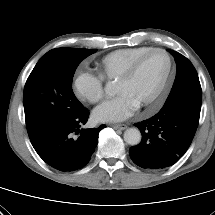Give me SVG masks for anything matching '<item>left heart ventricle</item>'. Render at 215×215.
<instances>
[{
  "instance_id": "obj_1",
  "label": "left heart ventricle",
  "mask_w": 215,
  "mask_h": 215,
  "mask_svg": "<svg viewBox=\"0 0 215 215\" xmlns=\"http://www.w3.org/2000/svg\"><path fill=\"white\" fill-rule=\"evenodd\" d=\"M167 68V57L162 53H153L142 61L129 80L117 81L116 93L129 95L140 106L159 88Z\"/></svg>"
}]
</instances>
